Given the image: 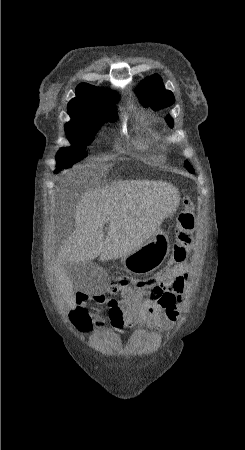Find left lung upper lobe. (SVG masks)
<instances>
[{
  "mask_svg": "<svg viewBox=\"0 0 245 450\" xmlns=\"http://www.w3.org/2000/svg\"><path fill=\"white\" fill-rule=\"evenodd\" d=\"M137 92L143 106H150L154 110L168 107L175 102L173 93L164 88L162 78L157 74L145 79L138 86ZM166 120L170 126H173V120L169 115L166 117ZM184 166L191 173H194L188 162H185Z\"/></svg>",
  "mask_w": 245,
  "mask_h": 450,
  "instance_id": "1",
  "label": "left lung upper lobe"
}]
</instances>
